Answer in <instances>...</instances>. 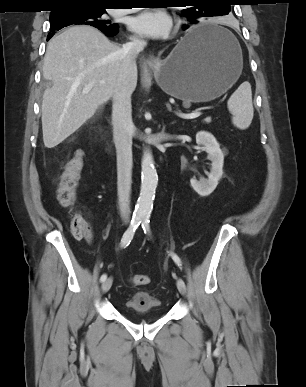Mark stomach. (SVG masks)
<instances>
[{"instance_id": "1", "label": "stomach", "mask_w": 306, "mask_h": 387, "mask_svg": "<svg viewBox=\"0 0 306 387\" xmlns=\"http://www.w3.org/2000/svg\"><path fill=\"white\" fill-rule=\"evenodd\" d=\"M208 30L227 33L230 40L215 38L188 44L190 34ZM242 68L237 40L211 22L194 26L165 59L152 65L161 89L186 104L220 97L238 80Z\"/></svg>"}]
</instances>
